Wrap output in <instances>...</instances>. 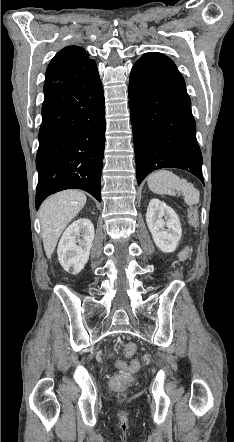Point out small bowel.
I'll return each mask as SVG.
<instances>
[{"label": "small bowel", "mask_w": 234, "mask_h": 442, "mask_svg": "<svg viewBox=\"0 0 234 442\" xmlns=\"http://www.w3.org/2000/svg\"><path fill=\"white\" fill-rule=\"evenodd\" d=\"M184 257H185L184 255H181V256H180V260H183V259H184Z\"/></svg>", "instance_id": "1"}]
</instances>
